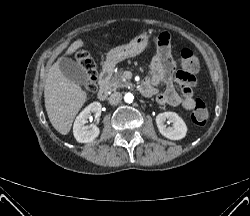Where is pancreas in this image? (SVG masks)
Listing matches in <instances>:
<instances>
[{"label": "pancreas", "instance_id": "pancreas-1", "mask_svg": "<svg viewBox=\"0 0 250 216\" xmlns=\"http://www.w3.org/2000/svg\"><path fill=\"white\" fill-rule=\"evenodd\" d=\"M130 85V82L124 78L122 69H120L118 72H115L113 76H108L105 79V86L110 90L128 87Z\"/></svg>", "mask_w": 250, "mask_h": 216}]
</instances>
